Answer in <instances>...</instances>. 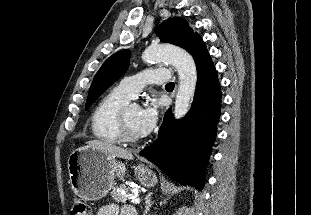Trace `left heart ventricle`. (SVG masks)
<instances>
[{
    "label": "left heart ventricle",
    "mask_w": 311,
    "mask_h": 215,
    "mask_svg": "<svg viewBox=\"0 0 311 215\" xmlns=\"http://www.w3.org/2000/svg\"><path fill=\"white\" fill-rule=\"evenodd\" d=\"M139 112H140V107L138 105H133L128 109L127 114H126V120H127L128 127L130 131L137 137L139 136L136 133L135 125H136Z\"/></svg>",
    "instance_id": "b2bd125f"
}]
</instances>
